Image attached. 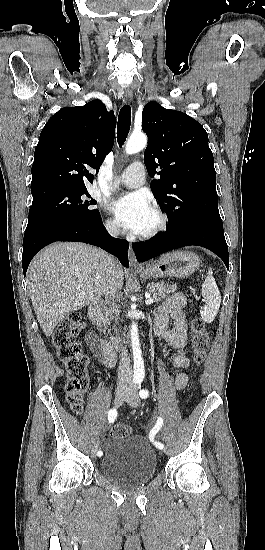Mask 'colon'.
<instances>
[{"label":"colon","mask_w":265,"mask_h":550,"mask_svg":"<svg viewBox=\"0 0 265 550\" xmlns=\"http://www.w3.org/2000/svg\"><path fill=\"white\" fill-rule=\"evenodd\" d=\"M82 329L81 315L78 312L68 314L55 328L52 343L57 359L64 364L67 372L66 394L71 409L81 413L83 396L86 393L90 379L87 371L88 358L82 352L77 336ZM192 361L199 366L208 354L211 345V334L204 321L195 318L191 322ZM130 434L126 425H115L110 435L113 438L125 437Z\"/></svg>","instance_id":"1"}]
</instances>
